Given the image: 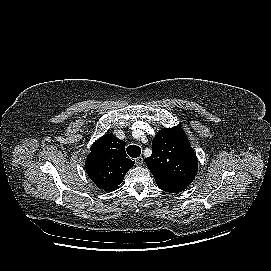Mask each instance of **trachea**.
<instances>
[{"label":"trachea","instance_id":"3493384b","mask_svg":"<svg viewBox=\"0 0 271 271\" xmlns=\"http://www.w3.org/2000/svg\"><path fill=\"white\" fill-rule=\"evenodd\" d=\"M127 153L132 158H137L141 154V148L136 145H130L127 147Z\"/></svg>","mask_w":271,"mask_h":271}]
</instances>
